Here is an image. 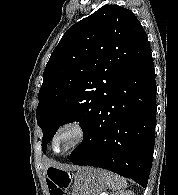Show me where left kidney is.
I'll return each instance as SVG.
<instances>
[{
	"label": "left kidney",
	"mask_w": 178,
	"mask_h": 195,
	"mask_svg": "<svg viewBox=\"0 0 178 195\" xmlns=\"http://www.w3.org/2000/svg\"><path fill=\"white\" fill-rule=\"evenodd\" d=\"M112 195H134L131 191L129 190H121L115 194H112Z\"/></svg>",
	"instance_id": "obj_1"
}]
</instances>
